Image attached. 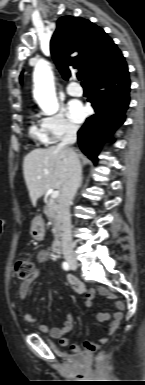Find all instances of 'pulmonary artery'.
I'll list each match as a JSON object with an SVG mask.
<instances>
[{
    "label": "pulmonary artery",
    "mask_w": 145,
    "mask_h": 385,
    "mask_svg": "<svg viewBox=\"0 0 145 385\" xmlns=\"http://www.w3.org/2000/svg\"><path fill=\"white\" fill-rule=\"evenodd\" d=\"M66 91L72 96H81L83 94L82 87L75 81H72L67 85Z\"/></svg>",
    "instance_id": "obj_1"
}]
</instances>
